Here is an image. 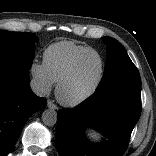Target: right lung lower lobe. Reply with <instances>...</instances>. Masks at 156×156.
I'll return each instance as SVG.
<instances>
[{"instance_id":"98d812e1","label":"right lung lower lobe","mask_w":156,"mask_h":156,"mask_svg":"<svg viewBox=\"0 0 156 156\" xmlns=\"http://www.w3.org/2000/svg\"><path fill=\"white\" fill-rule=\"evenodd\" d=\"M28 71L0 66V156L14 147L28 118L47 101L30 88Z\"/></svg>"}]
</instances>
